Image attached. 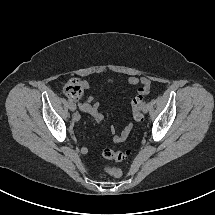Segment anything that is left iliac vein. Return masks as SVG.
<instances>
[{
	"mask_svg": "<svg viewBox=\"0 0 215 215\" xmlns=\"http://www.w3.org/2000/svg\"><path fill=\"white\" fill-rule=\"evenodd\" d=\"M149 108H150V105L148 103H145L143 105V110H142L143 113H147L149 111Z\"/></svg>",
	"mask_w": 215,
	"mask_h": 215,
	"instance_id": "1",
	"label": "left iliac vein"
}]
</instances>
